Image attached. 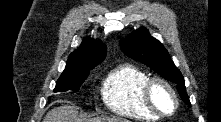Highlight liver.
I'll list each match as a JSON object with an SVG mask.
<instances>
[{
    "instance_id": "obj_1",
    "label": "liver",
    "mask_w": 221,
    "mask_h": 122,
    "mask_svg": "<svg viewBox=\"0 0 221 122\" xmlns=\"http://www.w3.org/2000/svg\"><path fill=\"white\" fill-rule=\"evenodd\" d=\"M43 122H82L78 118V111L74 104H67L53 108L45 116ZM88 122H129L123 118H106L99 117L90 119Z\"/></svg>"
}]
</instances>
